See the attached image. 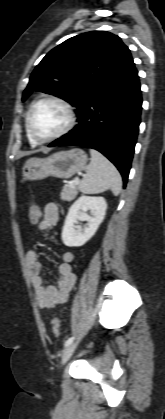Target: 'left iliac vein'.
Returning <instances> with one entry per match:
<instances>
[{"label":"left iliac vein","instance_id":"1","mask_svg":"<svg viewBox=\"0 0 165 419\" xmlns=\"http://www.w3.org/2000/svg\"><path fill=\"white\" fill-rule=\"evenodd\" d=\"M76 347H77V342H73L66 347L61 357L62 366H64L68 362L73 352L75 351Z\"/></svg>","mask_w":165,"mask_h":419}]
</instances>
